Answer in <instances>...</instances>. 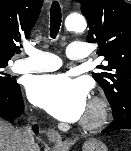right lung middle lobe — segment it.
<instances>
[{"label": "right lung middle lobe", "instance_id": "1", "mask_svg": "<svg viewBox=\"0 0 131 151\" xmlns=\"http://www.w3.org/2000/svg\"><path fill=\"white\" fill-rule=\"evenodd\" d=\"M7 63H0V86L9 87L16 83V81L11 78L10 75L6 74L4 68L7 66Z\"/></svg>", "mask_w": 131, "mask_h": 151}]
</instances>
